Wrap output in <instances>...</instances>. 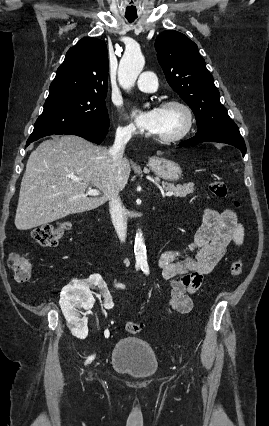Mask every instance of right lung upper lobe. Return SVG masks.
Returning a JSON list of instances; mask_svg holds the SVG:
<instances>
[{
	"label": "right lung upper lobe",
	"mask_w": 269,
	"mask_h": 426,
	"mask_svg": "<svg viewBox=\"0 0 269 426\" xmlns=\"http://www.w3.org/2000/svg\"><path fill=\"white\" fill-rule=\"evenodd\" d=\"M107 82L106 43L96 38H82L66 53L49 93L77 91L102 94L107 93Z\"/></svg>",
	"instance_id": "cb5924a9"
}]
</instances>
